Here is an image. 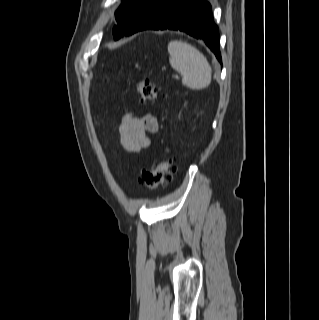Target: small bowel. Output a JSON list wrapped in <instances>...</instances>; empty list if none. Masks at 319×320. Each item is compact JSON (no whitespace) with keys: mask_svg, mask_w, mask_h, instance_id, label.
Returning <instances> with one entry per match:
<instances>
[{"mask_svg":"<svg viewBox=\"0 0 319 320\" xmlns=\"http://www.w3.org/2000/svg\"><path fill=\"white\" fill-rule=\"evenodd\" d=\"M158 130V121L154 115L146 114L140 117L135 113H128L119 123V145L126 152H139L150 146V135L156 134Z\"/></svg>","mask_w":319,"mask_h":320,"instance_id":"1","label":"small bowel"}]
</instances>
